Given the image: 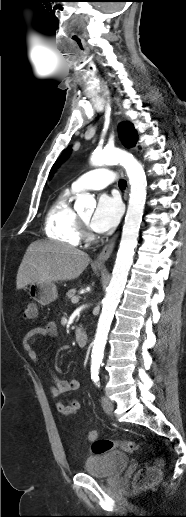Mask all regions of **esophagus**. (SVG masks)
Returning <instances> with one entry per match:
<instances>
[{
    "label": "esophagus",
    "mask_w": 186,
    "mask_h": 517,
    "mask_svg": "<svg viewBox=\"0 0 186 517\" xmlns=\"http://www.w3.org/2000/svg\"><path fill=\"white\" fill-rule=\"evenodd\" d=\"M117 234L104 246L100 254L97 256V258L94 260V265L97 266H104L105 262L108 260V258L111 256L117 239Z\"/></svg>",
    "instance_id": "1"
}]
</instances>
